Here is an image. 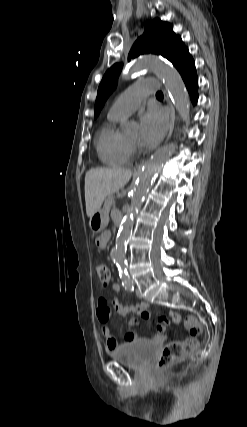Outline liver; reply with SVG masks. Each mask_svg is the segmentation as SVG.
I'll return each mask as SVG.
<instances>
[{"instance_id": "obj_1", "label": "liver", "mask_w": 247, "mask_h": 427, "mask_svg": "<svg viewBox=\"0 0 247 427\" xmlns=\"http://www.w3.org/2000/svg\"><path fill=\"white\" fill-rule=\"evenodd\" d=\"M132 172L122 168H91L85 175L86 214L90 218L100 210L104 199L123 188L130 180Z\"/></svg>"}]
</instances>
